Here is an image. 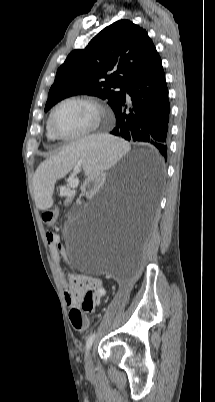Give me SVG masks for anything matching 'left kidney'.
Returning <instances> with one entry per match:
<instances>
[{
  "label": "left kidney",
  "mask_w": 215,
  "mask_h": 402,
  "mask_svg": "<svg viewBox=\"0 0 215 402\" xmlns=\"http://www.w3.org/2000/svg\"><path fill=\"white\" fill-rule=\"evenodd\" d=\"M106 172L104 169H97L93 175H87L86 184H83L82 191L83 193H95L97 191V187L102 186V178H104Z\"/></svg>",
  "instance_id": "obj_1"
}]
</instances>
